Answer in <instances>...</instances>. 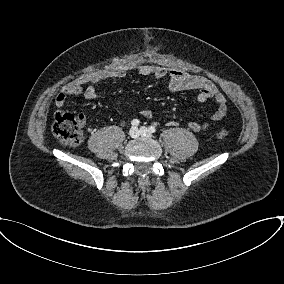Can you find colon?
<instances>
[{
  "label": "colon",
  "instance_id": "colon-1",
  "mask_svg": "<svg viewBox=\"0 0 284 284\" xmlns=\"http://www.w3.org/2000/svg\"><path fill=\"white\" fill-rule=\"evenodd\" d=\"M82 116L73 113L59 111L54 116L52 124L53 135L62 143L75 146L82 142L83 133L81 130ZM228 132L224 129L217 132L219 138L227 137Z\"/></svg>",
  "mask_w": 284,
  "mask_h": 284
}]
</instances>
